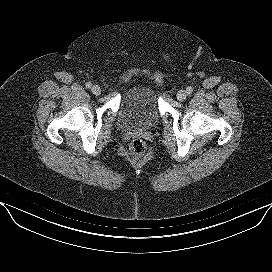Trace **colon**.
<instances>
[{
	"label": "colon",
	"instance_id": "colon-1",
	"mask_svg": "<svg viewBox=\"0 0 272 272\" xmlns=\"http://www.w3.org/2000/svg\"><path fill=\"white\" fill-rule=\"evenodd\" d=\"M145 149V143L141 139L136 138L132 140L130 144V152L135 158L141 157L144 154Z\"/></svg>",
	"mask_w": 272,
	"mask_h": 272
}]
</instances>
